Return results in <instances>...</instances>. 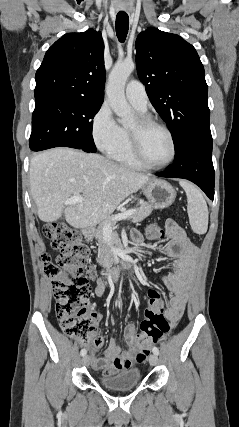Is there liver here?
<instances>
[{
    "mask_svg": "<svg viewBox=\"0 0 239 427\" xmlns=\"http://www.w3.org/2000/svg\"><path fill=\"white\" fill-rule=\"evenodd\" d=\"M30 190L43 222L64 214L75 228H92L110 218L117 206L142 188L149 176L118 164L100 154L70 148H54L30 160ZM81 195L84 201L65 204Z\"/></svg>",
    "mask_w": 239,
    "mask_h": 427,
    "instance_id": "obj_1",
    "label": "liver"
}]
</instances>
